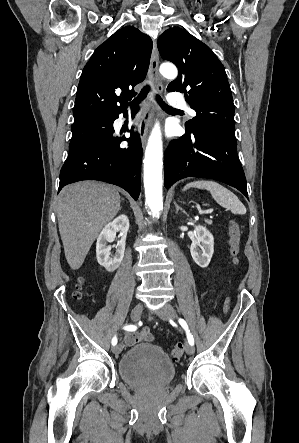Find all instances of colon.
<instances>
[{
  "instance_id": "1",
  "label": "colon",
  "mask_w": 299,
  "mask_h": 443,
  "mask_svg": "<svg viewBox=\"0 0 299 443\" xmlns=\"http://www.w3.org/2000/svg\"><path fill=\"white\" fill-rule=\"evenodd\" d=\"M240 238H241V230L239 225L235 221H231L229 224V247L230 254L233 259V263L235 265L239 264V252H240ZM81 293L77 292L76 297H80ZM230 308V301L227 300L224 305V312H228ZM184 354V345L182 343H178L174 346L172 350V356L174 359H180Z\"/></svg>"
}]
</instances>
